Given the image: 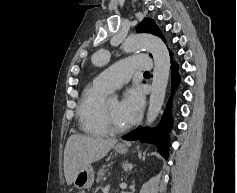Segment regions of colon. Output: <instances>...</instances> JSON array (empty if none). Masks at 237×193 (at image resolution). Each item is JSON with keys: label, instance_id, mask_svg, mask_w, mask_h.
Returning a JSON list of instances; mask_svg holds the SVG:
<instances>
[{"label": "colon", "instance_id": "1", "mask_svg": "<svg viewBox=\"0 0 237 193\" xmlns=\"http://www.w3.org/2000/svg\"><path fill=\"white\" fill-rule=\"evenodd\" d=\"M74 193H85L83 190L75 191Z\"/></svg>", "mask_w": 237, "mask_h": 193}]
</instances>
